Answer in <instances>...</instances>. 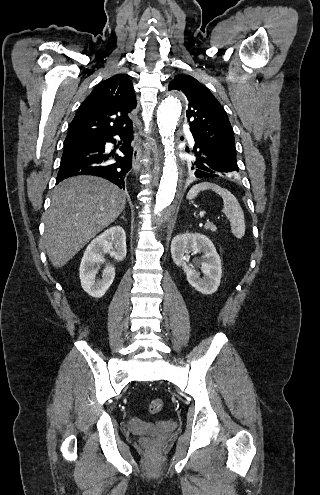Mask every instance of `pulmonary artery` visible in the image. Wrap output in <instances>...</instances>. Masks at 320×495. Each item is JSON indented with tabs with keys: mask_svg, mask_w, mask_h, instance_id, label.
I'll use <instances>...</instances> for the list:
<instances>
[{
	"mask_svg": "<svg viewBox=\"0 0 320 495\" xmlns=\"http://www.w3.org/2000/svg\"><path fill=\"white\" fill-rule=\"evenodd\" d=\"M188 140H189L190 143H194V139H193V137L191 135H188Z\"/></svg>",
	"mask_w": 320,
	"mask_h": 495,
	"instance_id": "pulmonary-artery-1",
	"label": "pulmonary artery"
}]
</instances>
